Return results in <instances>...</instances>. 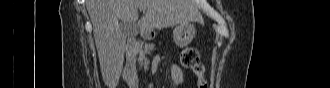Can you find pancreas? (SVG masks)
I'll list each match as a JSON object with an SVG mask.
<instances>
[{"label": "pancreas", "mask_w": 330, "mask_h": 88, "mask_svg": "<svg viewBox=\"0 0 330 88\" xmlns=\"http://www.w3.org/2000/svg\"><path fill=\"white\" fill-rule=\"evenodd\" d=\"M154 50V45H146L144 51L140 54V58L145 59V54H150Z\"/></svg>", "instance_id": "1"}]
</instances>
